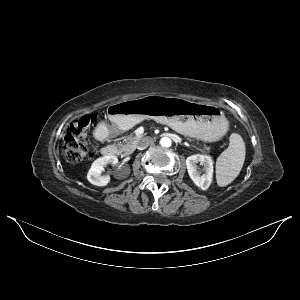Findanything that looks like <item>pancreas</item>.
<instances>
[{"label":"pancreas","instance_id":"cf45deb5","mask_svg":"<svg viewBox=\"0 0 300 300\" xmlns=\"http://www.w3.org/2000/svg\"><path fill=\"white\" fill-rule=\"evenodd\" d=\"M141 136H129L123 140L122 143L118 144V149L120 153H124L125 155H128L132 153V151L136 148L140 141ZM204 150L209 152L210 148L209 147H204Z\"/></svg>","mask_w":300,"mask_h":300}]
</instances>
